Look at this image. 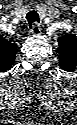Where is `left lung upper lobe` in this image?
I'll use <instances>...</instances> for the list:
<instances>
[{
  "instance_id": "1",
  "label": "left lung upper lobe",
  "mask_w": 77,
  "mask_h": 125,
  "mask_svg": "<svg viewBox=\"0 0 77 125\" xmlns=\"http://www.w3.org/2000/svg\"><path fill=\"white\" fill-rule=\"evenodd\" d=\"M59 65L62 69H71L77 64V38L73 35H65L58 39Z\"/></svg>"
}]
</instances>
